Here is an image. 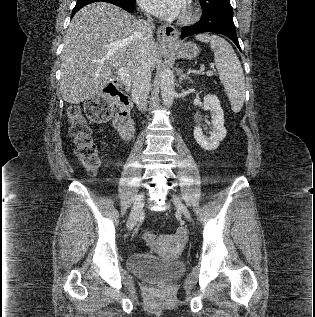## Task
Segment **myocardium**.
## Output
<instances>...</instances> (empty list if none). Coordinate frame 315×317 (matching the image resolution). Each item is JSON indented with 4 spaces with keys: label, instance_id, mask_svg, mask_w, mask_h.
I'll list each match as a JSON object with an SVG mask.
<instances>
[{
    "label": "myocardium",
    "instance_id": "f54148a6",
    "mask_svg": "<svg viewBox=\"0 0 315 317\" xmlns=\"http://www.w3.org/2000/svg\"><path fill=\"white\" fill-rule=\"evenodd\" d=\"M200 10L198 5L193 1L190 0L185 6L183 13L179 18V22L181 24H190L196 21L199 17Z\"/></svg>",
    "mask_w": 315,
    "mask_h": 317
}]
</instances>
